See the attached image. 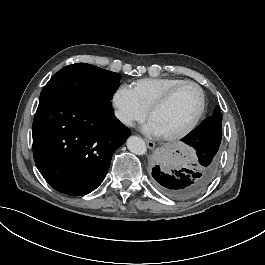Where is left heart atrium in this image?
Returning a JSON list of instances; mask_svg holds the SVG:
<instances>
[{"mask_svg": "<svg viewBox=\"0 0 265 265\" xmlns=\"http://www.w3.org/2000/svg\"><path fill=\"white\" fill-rule=\"evenodd\" d=\"M143 131L151 136L154 137H161L160 132L158 131L155 123L151 120H149L144 126Z\"/></svg>", "mask_w": 265, "mask_h": 265, "instance_id": "39dd6f15", "label": "left heart atrium"}]
</instances>
